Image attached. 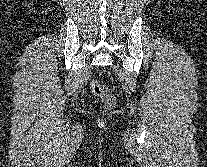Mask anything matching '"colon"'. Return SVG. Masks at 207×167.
Returning a JSON list of instances; mask_svg holds the SVG:
<instances>
[{
	"label": "colon",
	"mask_w": 207,
	"mask_h": 167,
	"mask_svg": "<svg viewBox=\"0 0 207 167\" xmlns=\"http://www.w3.org/2000/svg\"><path fill=\"white\" fill-rule=\"evenodd\" d=\"M90 89L93 95L101 99L104 109L109 110L114 107L116 98L108 91L106 85L99 81H93L90 85Z\"/></svg>",
	"instance_id": "colon-1"
}]
</instances>
